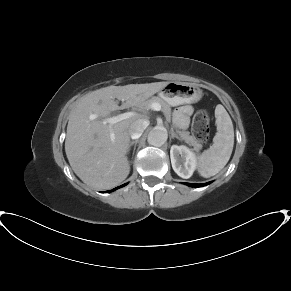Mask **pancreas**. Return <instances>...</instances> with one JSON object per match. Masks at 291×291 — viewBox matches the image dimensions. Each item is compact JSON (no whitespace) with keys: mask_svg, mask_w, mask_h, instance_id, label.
<instances>
[{"mask_svg":"<svg viewBox=\"0 0 291 291\" xmlns=\"http://www.w3.org/2000/svg\"><path fill=\"white\" fill-rule=\"evenodd\" d=\"M153 103H159L161 105V110H162L163 114L165 115L166 119L170 120L171 107L169 104H167L160 97L154 96V97L146 100L143 103V105L140 106V108L143 111H147L151 107V104H153ZM177 133L180 136L181 140H184L187 144L193 146L195 150H200L202 148L201 142L198 139H196L194 136H191L188 131L177 130Z\"/></svg>","mask_w":291,"mask_h":291,"instance_id":"cf45deb5","label":"pancreas"}]
</instances>
